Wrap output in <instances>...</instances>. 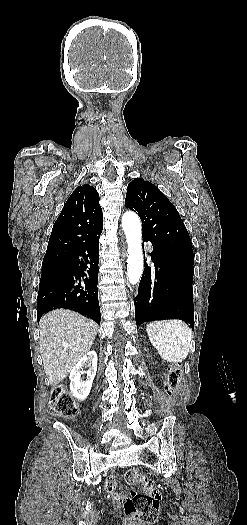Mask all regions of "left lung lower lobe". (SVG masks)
<instances>
[{
	"mask_svg": "<svg viewBox=\"0 0 247 525\" xmlns=\"http://www.w3.org/2000/svg\"><path fill=\"white\" fill-rule=\"evenodd\" d=\"M151 241L154 269L146 265L134 298L136 324L160 320L180 319L194 328L193 265L171 253L156 239Z\"/></svg>",
	"mask_w": 247,
	"mask_h": 525,
	"instance_id": "obj_1",
	"label": "left lung lower lobe"
}]
</instances>
